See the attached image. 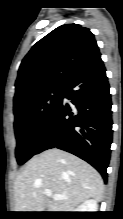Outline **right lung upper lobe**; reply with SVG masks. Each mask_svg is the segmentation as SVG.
I'll list each match as a JSON object with an SVG mask.
<instances>
[{"label":"right lung upper lobe","mask_w":123,"mask_h":219,"mask_svg":"<svg viewBox=\"0 0 123 219\" xmlns=\"http://www.w3.org/2000/svg\"><path fill=\"white\" fill-rule=\"evenodd\" d=\"M101 54L92 32L78 24L57 27L39 40L22 60L14 103L39 90L65 86Z\"/></svg>","instance_id":"1"}]
</instances>
